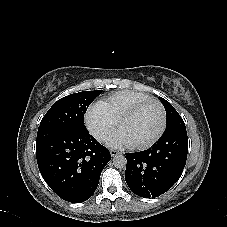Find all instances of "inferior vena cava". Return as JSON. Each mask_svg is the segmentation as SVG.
<instances>
[{
    "label": "inferior vena cava",
    "instance_id": "obj_1",
    "mask_svg": "<svg viewBox=\"0 0 227 227\" xmlns=\"http://www.w3.org/2000/svg\"><path fill=\"white\" fill-rule=\"evenodd\" d=\"M96 139L99 141V142H105L106 140H107V135H105V134H98L97 136H96Z\"/></svg>",
    "mask_w": 227,
    "mask_h": 227
}]
</instances>
